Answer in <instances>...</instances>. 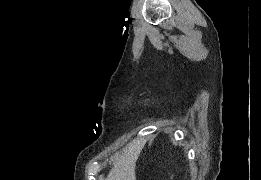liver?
I'll return each mask as SVG.
<instances>
[{
    "instance_id": "6515ba94",
    "label": "liver",
    "mask_w": 261,
    "mask_h": 180,
    "mask_svg": "<svg viewBox=\"0 0 261 180\" xmlns=\"http://www.w3.org/2000/svg\"><path fill=\"white\" fill-rule=\"evenodd\" d=\"M141 152L140 142L133 140L123 154L117 156L106 180H136L135 166Z\"/></svg>"
}]
</instances>
